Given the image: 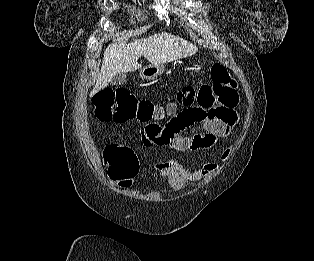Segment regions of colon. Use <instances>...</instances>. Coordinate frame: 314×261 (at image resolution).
Returning a JSON list of instances; mask_svg holds the SVG:
<instances>
[{
  "label": "colon",
  "mask_w": 314,
  "mask_h": 261,
  "mask_svg": "<svg viewBox=\"0 0 314 261\" xmlns=\"http://www.w3.org/2000/svg\"><path fill=\"white\" fill-rule=\"evenodd\" d=\"M210 83L198 88L183 87L177 94L176 105L186 109L211 108L225 105L236 99V83L224 66L214 63L210 71ZM95 116L102 122L126 123L139 121L154 124L176 113H166L148 99L138 98L131 90L123 87L103 88L94 96ZM180 113V112H177ZM104 161L108 166L109 176L121 186L130 185L139 171V159L131 147L123 143H110L104 148Z\"/></svg>",
  "instance_id": "obj_1"
}]
</instances>
